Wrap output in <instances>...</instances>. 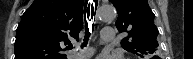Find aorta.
Returning <instances> with one entry per match:
<instances>
[{"label":"aorta","mask_w":193,"mask_h":59,"mask_svg":"<svg viewBox=\"0 0 193 59\" xmlns=\"http://www.w3.org/2000/svg\"><path fill=\"white\" fill-rule=\"evenodd\" d=\"M117 16L116 9L109 4L102 5L97 11V17L100 21H113Z\"/></svg>","instance_id":"aorta-1"}]
</instances>
